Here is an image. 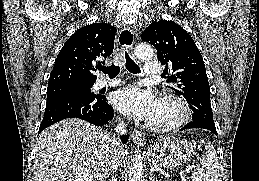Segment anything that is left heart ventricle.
Masks as SVG:
<instances>
[{"instance_id": "obj_1", "label": "left heart ventricle", "mask_w": 259, "mask_h": 181, "mask_svg": "<svg viewBox=\"0 0 259 181\" xmlns=\"http://www.w3.org/2000/svg\"><path fill=\"white\" fill-rule=\"evenodd\" d=\"M176 116V110L169 104L158 103V109L151 122L166 123L173 120Z\"/></svg>"}]
</instances>
